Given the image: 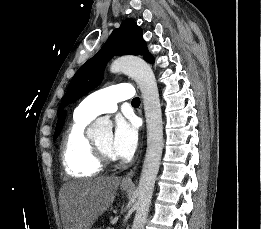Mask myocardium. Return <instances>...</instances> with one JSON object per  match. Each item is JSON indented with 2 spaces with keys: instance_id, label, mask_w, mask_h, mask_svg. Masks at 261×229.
<instances>
[{
  "instance_id": "myocardium-1",
  "label": "myocardium",
  "mask_w": 261,
  "mask_h": 229,
  "mask_svg": "<svg viewBox=\"0 0 261 229\" xmlns=\"http://www.w3.org/2000/svg\"><path fill=\"white\" fill-rule=\"evenodd\" d=\"M96 150L98 152L99 157L101 158V160L104 161H113L114 157L112 156V154L108 153L106 150H104L98 143H94Z\"/></svg>"
}]
</instances>
